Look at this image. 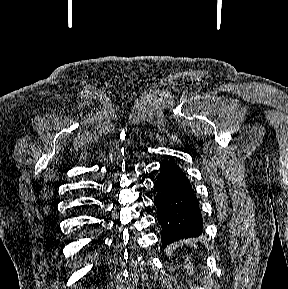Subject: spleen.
Listing matches in <instances>:
<instances>
[{
  "label": "spleen",
  "mask_w": 288,
  "mask_h": 289,
  "mask_svg": "<svg viewBox=\"0 0 288 289\" xmlns=\"http://www.w3.org/2000/svg\"><path fill=\"white\" fill-rule=\"evenodd\" d=\"M188 260H189V257L185 259L184 268L189 276H194V267L190 262L187 263Z\"/></svg>",
  "instance_id": "spleen-1"
}]
</instances>
